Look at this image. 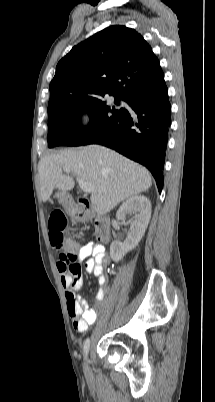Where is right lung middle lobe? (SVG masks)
<instances>
[{"instance_id":"right-lung-middle-lobe-1","label":"right lung middle lobe","mask_w":215,"mask_h":402,"mask_svg":"<svg viewBox=\"0 0 215 402\" xmlns=\"http://www.w3.org/2000/svg\"><path fill=\"white\" fill-rule=\"evenodd\" d=\"M115 104L125 100L113 95ZM104 95L85 98L59 97L48 104V146L49 148L67 145L80 146L86 136L98 133L110 125L123 112L108 105L103 100ZM90 114V123L81 130L79 116L81 112Z\"/></svg>"}]
</instances>
